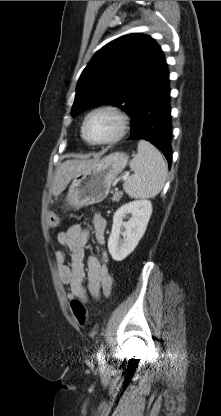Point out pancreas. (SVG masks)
Listing matches in <instances>:
<instances>
[{
	"label": "pancreas",
	"mask_w": 221,
	"mask_h": 416,
	"mask_svg": "<svg viewBox=\"0 0 221 416\" xmlns=\"http://www.w3.org/2000/svg\"><path fill=\"white\" fill-rule=\"evenodd\" d=\"M122 196H123L122 192H115V194L113 195L111 199L113 202H119Z\"/></svg>",
	"instance_id": "cf45deb5"
}]
</instances>
